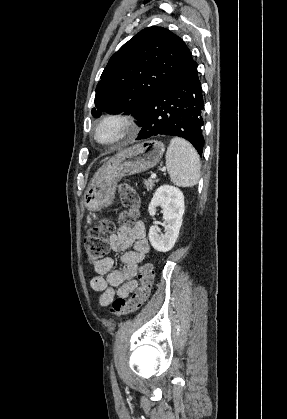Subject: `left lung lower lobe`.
<instances>
[{"label":"left lung lower lobe","instance_id":"1","mask_svg":"<svg viewBox=\"0 0 287 419\" xmlns=\"http://www.w3.org/2000/svg\"><path fill=\"white\" fill-rule=\"evenodd\" d=\"M203 98L192 63L181 74L161 88L149 101L137 140L159 135L188 140L201 155L203 152Z\"/></svg>","mask_w":287,"mask_h":419}]
</instances>
